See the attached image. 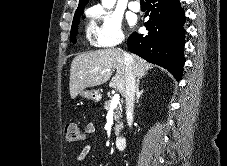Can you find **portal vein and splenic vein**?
Here are the masks:
<instances>
[{"label": "portal vein and splenic vein", "instance_id": "obj_1", "mask_svg": "<svg viewBox=\"0 0 227 166\" xmlns=\"http://www.w3.org/2000/svg\"><path fill=\"white\" fill-rule=\"evenodd\" d=\"M120 101V95L119 94H115L111 100V104H110V110H114Z\"/></svg>", "mask_w": 227, "mask_h": 166}]
</instances>
